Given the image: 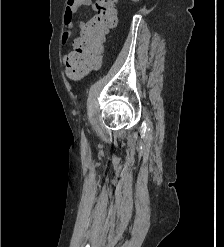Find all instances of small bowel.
I'll use <instances>...</instances> for the list:
<instances>
[{"label":"small bowel","instance_id":"obj_1","mask_svg":"<svg viewBox=\"0 0 224 247\" xmlns=\"http://www.w3.org/2000/svg\"><path fill=\"white\" fill-rule=\"evenodd\" d=\"M72 4L67 5L63 15V26L64 32L61 37L62 45H68L69 39L74 29V15L79 7H89L93 10H96V4L93 0H71ZM86 26V22H80V29H84ZM77 40H75L72 44L74 50H77ZM73 57V53L70 52L67 56V61Z\"/></svg>","mask_w":224,"mask_h":247}]
</instances>
